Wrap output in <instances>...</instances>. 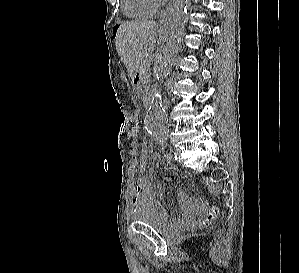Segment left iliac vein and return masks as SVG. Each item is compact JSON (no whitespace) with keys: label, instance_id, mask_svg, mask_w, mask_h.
Instances as JSON below:
<instances>
[{"label":"left iliac vein","instance_id":"1","mask_svg":"<svg viewBox=\"0 0 299 273\" xmlns=\"http://www.w3.org/2000/svg\"><path fill=\"white\" fill-rule=\"evenodd\" d=\"M175 153H176L177 155H179V154H180V150H179V149H176V150H175Z\"/></svg>","mask_w":299,"mask_h":273}]
</instances>
